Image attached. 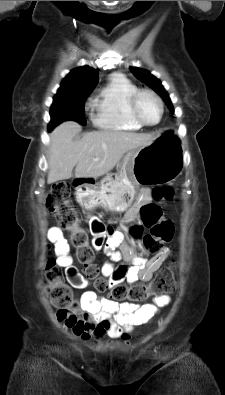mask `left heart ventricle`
Listing matches in <instances>:
<instances>
[{
    "mask_svg": "<svg viewBox=\"0 0 225 395\" xmlns=\"http://www.w3.org/2000/svg\"><path fill=\"white\" fill-rule=\"evenodd\" d=\"M139 113L148 123H155L159 118V107L150 96H143L139 101Z\"/></svg>",
    "mask_w": 225,
    "mask_h": 395,
    "instance_id": "1",
    "label": "left heart ventricle"
}]
</instances>
